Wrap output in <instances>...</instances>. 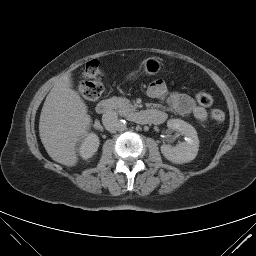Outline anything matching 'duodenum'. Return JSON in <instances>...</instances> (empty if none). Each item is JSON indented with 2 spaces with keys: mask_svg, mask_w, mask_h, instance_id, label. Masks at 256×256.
Here are the masks:
<instances>
[{
  "mask_svg": "<svg viewBox=\"0 0 256 256\" xmlns=\"http://www.w3.org/2000/svg\"><path fill=\"white\" fill-rule=\"evenodd\" d=\"M113 108V101L105 99L99 102L96 106V112L99 114H105L111 111ZM158 114L152 110H142L132 115V118L137 123L148 124L156 123Z\"/></svg>",
  "mask_w": 256,
  "mask_h": 256,
  "instance_id": "410a0bca",
  "label": "duodenum"
}]
</instances>
